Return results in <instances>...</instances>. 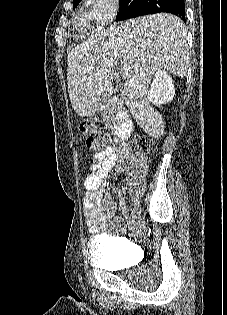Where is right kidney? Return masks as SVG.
Returning <instances> with one entry per match:
<instances>
[{
    "label": "right kidney",
    "instance_id": "right-kidney-1",
    "mask_svg": "<svg viewBox=\"0 0 227 315\" xmlns=\"http://www.w3.org/2000/svg\"><path fill=\"white\" fill-rule=\"evenodd\" d=\"M174 95L175 88L172 78L166 71L156 72L155 79L147 94L148 101L158 106L171 101Z\"/></svg>",
    "mask_w": 227,
    "mask_h": 315
}]
</instances>
